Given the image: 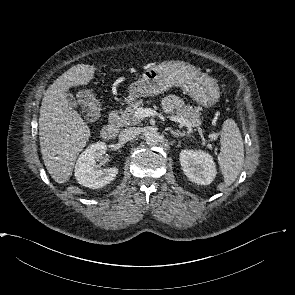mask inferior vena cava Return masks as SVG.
<instances>
[{
	"instance_id": "obj_1",
	"label": "inferior vena cava",
	"mask_w": 295,
	"mask_h": 295,
	"mask_svg": "<svg viewBox=\"0 0 295 295\" xmlns=\"http://www.w3.org/2000/svg\"><path fill=\"white\" fill-rule=\"evenodd\" d=\"M139 134H140L139 128L130 127V128H126V129L122 130L119 137L123 141H132V140L136 139L139 136Z\"/></svg>"
}]
</instances>
